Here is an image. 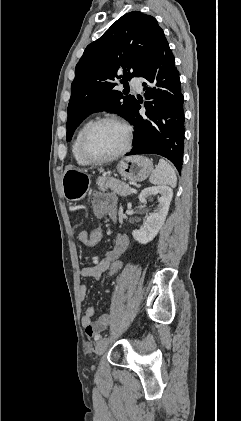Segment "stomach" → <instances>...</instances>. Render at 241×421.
Here are the masks:
<instances>
[{
	"mask_svg": "<svg viewBox=\"0 0 241 421\" xmlns=\"http://www.w3.org/2000/svg\"><path fill=\"white\" fill-rule=\"evenodd\" d=\"M117 171L124 179L139 182L152 173L153 164L144 156H129L119 161ZM90 183V176L84 170L68 168L62 177L63 195L69 201H79L88 192Z\"/></svg>",
	"mask_w": 241,
	"mask_h": 421,
	"instance_id": "obj_1",
	"label": "stomach"
}]
</instances>
